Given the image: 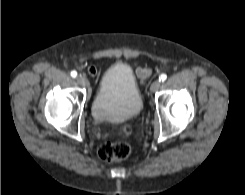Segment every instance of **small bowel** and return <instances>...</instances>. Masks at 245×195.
Here are the masks:
<instances>
[{"label": "small bowel", "instance_id": "obj_1", "mask_svg": "<svg viewBox=\"0 0 245 195\" xmlns=\"http://www.w3.org/2000/svg\"><path fill=\"white\" fill-rule=\"evenodd\" d=\"M89 72L92 74V75H96L97 74V71L94 67H89ZM136 73H137V76L141 79V80H144L146 79L149 74H150V70L148 69H144V68H141V67H137L136 68Z\"/></svg>", "mask_w": 245, "mask_h": 195}]
</instances>
